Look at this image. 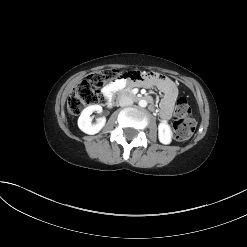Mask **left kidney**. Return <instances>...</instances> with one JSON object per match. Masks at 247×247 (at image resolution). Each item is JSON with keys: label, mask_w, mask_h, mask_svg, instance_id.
<instances>
[{"label": "left kidney", "mask_w": 247, "mask_h": 247, "mask_svg": "<svg viewBox=\"0 0 247 247\" xmlns=\"http://www.w3.org/2000/svg\"><path fill=\"white\" fill-rule=\"evenodd\" d=\"M159 141L163 144H170L172 140V131L168 124L160 123L158 126Z\"/></svg>", "instance_id": "left-kidney-1"}]
</instances>
